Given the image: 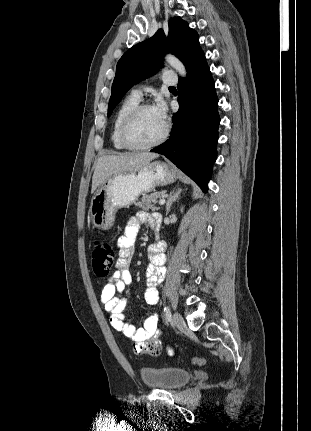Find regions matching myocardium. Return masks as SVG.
Listing matches in <instances>:
<instances>
[{
	"label": "myocardium",
	"instance_id": "1",
	"mask_svg": "<svg viewBox=\"0 0 311 431\" xmlns=\"http://www.w3.org/2000/svg\"><path fill=\"white\" fill-rule=\"evenodd\" d=\"M149 108H152L147 103H139L135 108H133L124 118L122 125H121V136L124 141V143L131 149L136 150H144V149H150L152 147L160 145L162 142L165 141L169 134V127L165 123L164 131L163 133L156 138L153 141L147 142V143H140L136 141L132 136V130L135 122L137 119L143 114V112Z\"/></svg>",
	"mask_w": 311,
	"mask_h": 431
}]
</instances>
